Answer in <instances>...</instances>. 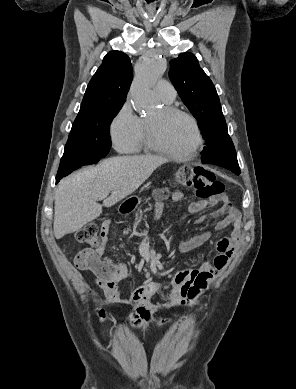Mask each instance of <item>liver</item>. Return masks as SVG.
I'll use <instances>...</instances> for the list:
<instances>
[{
  "mask_svg": "<svg viewBox=\"0 0 296 389\" xmlns=\"http://www.w3.org/2000/svg\"><path fill=\"white\" fill-rule=\"evenodd\" d=\"M167 160L156 155L121 156L103 160L60 181L55 194L56 239L80 230L110 207L136 191ZM111 195L99 204L100 196Z\"/></svg>",
  "mask_w": 296,
  "mask_h": 389,
  "instance_id": "1",
  "label": "liver"
}]
</instances>
